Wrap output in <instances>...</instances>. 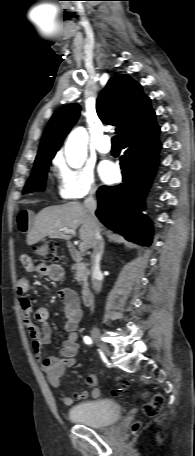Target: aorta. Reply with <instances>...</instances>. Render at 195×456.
<instances>
[{
	"label": "aorta",
	"mask_w": 195,
	"mask_h": 456,
	"mask_svg": "<svg viewBox=\"0 0 195 456\" xmlns=\"http://www.w3.org/2000/svg\"><path fill=\"white\" fill-rule=\"evenodd\" d=\"M88 133L85 128L78 127L68 136L65 144V155L70 167L81 168L87 158Z\"/></svg>",
	"instance_id": "1"
}]
</instances>
